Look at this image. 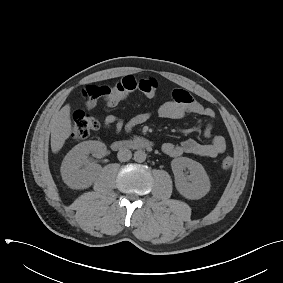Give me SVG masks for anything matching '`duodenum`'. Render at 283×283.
<instances>
[{
  "label": "duodenum",
  "mask_w": 283,
  "mask_h": 283,
  "mask_svg": "<svg viewBox=\"0 0 283 283\" xmlns=\"http://www.w3.org/2000/svg\"><path fill=\"white\" fill-rule=\"evenodd\" d=\"M114 151H120L124 149L133 150H152L153 144L145 138H133L128 140H117L111 144Z\"/></svg>",
  "instance_id": "duodenum-1"
}]
</instances>
